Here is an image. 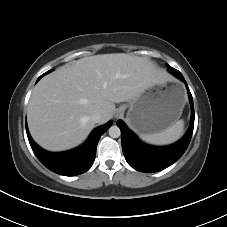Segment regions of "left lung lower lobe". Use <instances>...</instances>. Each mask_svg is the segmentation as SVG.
<instances>
[{
	"mask_svg": "<svg viewBox=\"0 0 227 227\" xmlns=\"http://www.w3.org/2000/svg\"><path fill=\"white\" fill-rule=\"evenodd\" d=\"M169 71L186 84L178 70ZM186 87L191 104V123L186 135L175 144L164 147L146 145L121 120L117 121V125L121 129V144L125 159L135 170L148 173L163 170L175 163L186 151L194 128L193 98L187 84Z\"/></svg>",
	"mask_w": 227,
	"mask_h": 227,
	"instance_id": "0a47b994",
	"label": "left lung lower lobe"
}]
</instances>
